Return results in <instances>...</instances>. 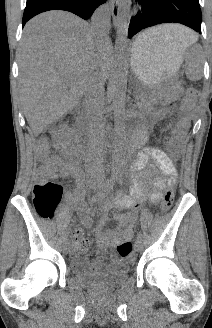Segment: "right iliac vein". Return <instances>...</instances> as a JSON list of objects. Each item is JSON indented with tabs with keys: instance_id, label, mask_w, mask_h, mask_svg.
I'll return each mask as SVG.
<instances>
[{
	"instance_id": "obj_1",
	"label": "right iliac vein",
	"mask_w": 212,
	"mask_h": 328,
	"mask_svg": "<svg viewBox=\"0 0 212 328\" xmlns=\"http://www.w3.org/2000/svg\"><path fill=\"white\" fill-rule=\"evenodd\" d=\"M89 186L92 188V184L90 183ZM63 251L64 253L68 254L70 252V244L69 242L65 241L63 244Z\"/></svg>"
}]
</instances>
